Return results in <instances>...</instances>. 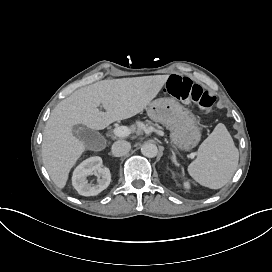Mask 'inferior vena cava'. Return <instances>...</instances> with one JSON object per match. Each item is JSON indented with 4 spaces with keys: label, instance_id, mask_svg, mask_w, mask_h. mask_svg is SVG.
Here are the masks:
<instances>
[{
    "label": "inferior vena cava",
    "instance_id": "inferior-vena-cava-1",
    "mask_svg": "<svg viewBox=\"0 0 272 272\" xmlns=\"http://www.w3.org/2000/svg\"><path fill=\"white\" fill-rule=\"evenodd\" d=\"M131 149L129 142L125 140H118L112 145V154L115 157H120L127 154Z\"/></svg>",
    "mask_w": 272,
    "mask_h": 272
}]
</instances>
